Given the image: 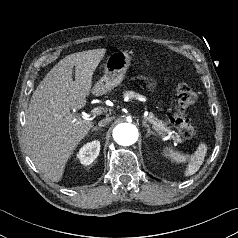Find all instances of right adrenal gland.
<instances>
[{"label": "right adrenal gland", "instance_id": "obj_1", "mask_svg": "<svg viewBox=\"0 0 238 238\" xmlns=\"http://www.w3.org/2000/svg\"><path fill=\"white\" fill-rule=\"evenodd\" d=\"M98 130H101V128H100V127H94V128L91 130V132H93V131H98Z\"/></svg>", "mask_w": 238, "mask_h": 238}]
</instances>
